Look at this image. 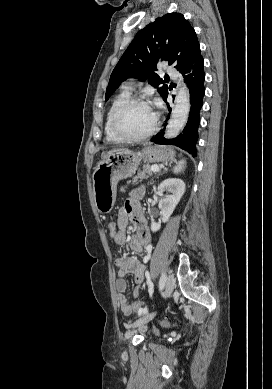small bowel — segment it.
<instances>
[{"mask_svg":"<svg viewBox=\"0 0 272 389\" xmlns=\"http://www.w3.org/2000/svg\"><path fill=\"white\" fill-rule=\"evenodd\" d=\"M142 195L143 189L137 188L133 190L123 206L119 209L117 216L119 232L113 239L119 245L125 244L128 241L126 227L129 222H132L135 227V234L129 240L130 247L136 253H142L146 250L145 258H148L150 251L147 249V246L150 242V234L139 204ZM116 266L119 269V277L115 283L117 303L125 315H131L134 310L131 304L127 302L125 296L127 288L125 276L127 274L133 275L134 282L137 286L134 292V298H137L146 277L145 265L135 257L123 256L116 260Z\"/></svg>","mask_w":272,"mask_h":389,"instance_id":"small-bowel-1","label":"small bowel"}]
</instances>
